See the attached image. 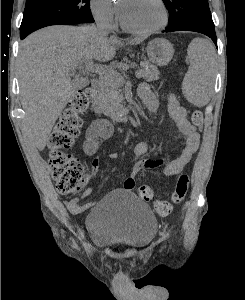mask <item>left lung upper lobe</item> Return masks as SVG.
Segmentation results:
<instances>
[{"instance_id": "1", "label": "left lung upper lobe", "mask_w": 245, "mask_h": 300, "mask_svg": "<svg viewBox=\"0 0 245 300\" xmlns=\"http://www.w3.org/2000/svg\"><path fill=\"white\" fill-rule=\"evenodd\" d=\"M169 12L168 27L185 21L214 26L208 0H163Z\"/></svg>"}]
</instances>
